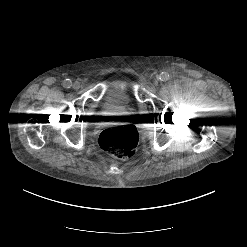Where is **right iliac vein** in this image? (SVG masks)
<instances>
[{
  "label": "right iliac vein",
  "instance_id": "1",
  "mask_svg": "<svg viewBox=\"0 0 247 247\" xmlns=\"http://www.w3.org/2000/svg\"><path fill=\"white\" fill-rule=\"evenodd\" d=\"M73 88H74V89H79V88H80V83H79L78 81H75V82L73 83Z\"/></svg>",
  "mask_w": 247,
  "mask_h": 247
}]
</instances>
